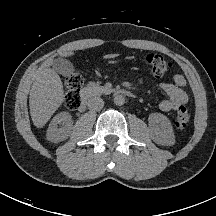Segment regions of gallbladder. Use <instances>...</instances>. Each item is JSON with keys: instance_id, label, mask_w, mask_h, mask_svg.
<instances>
[{"instance_id": "obj_1", "label": "gallbladder", "mask_w": 216, "mask_h": 216, "mask_svg": "<svg viewBox=\"0 0 216 216\" xmlns=\"http://www.w3.org/2000/svg\"><path fill=\"white\" fill-rule=\"evenodd\" d=\"M52 67L57 73L63 76H69L75 72L74 65L69 60L64 58L55 59L52 63Z\"/></svg>"}]
</instances>
